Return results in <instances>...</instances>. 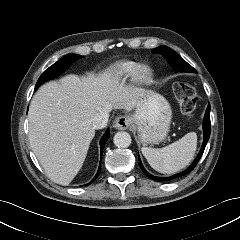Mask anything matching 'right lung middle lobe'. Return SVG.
<instances>
[{"mask_svg":"<svg viewBox=\"0 0 240 240\" xmlns=\"http://www.w3.org/2000/svg\"><path fill=\"white\" fill-rule=\"evenodd\" d=\"M82 57L83 56L76 54L65 55L63 58L45 70V72L39 77L35 89H37L43 82L53 79L63 73L73 61Z\"/></svg>","mask_w":240,"mask_h":240,"instance_id":"right-lung-middle-lobe-1","label":"right lung middle lobe"}]
</instances>
